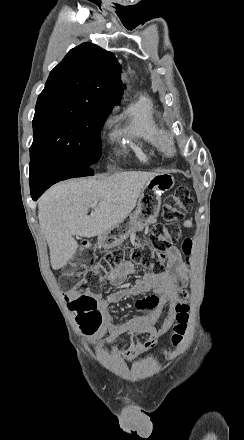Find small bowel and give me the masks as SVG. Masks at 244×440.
I'll list each match as a JSON object with an SVG mask.
<instances>
[{"instance_id": "c3829d8e", "label": "small bowel", "mask_w": 244, "mask_h": 440, "mask_svg": "<svg viewBox=\"0 0 244 440\" xmlns=\"http://www.w3.org/2000/svg\"><path fill=\"white\" fill-rule=\"evenodd\" d=\"M182 225L184 228L189 229L193 226V222L191 219H186ZM165 263L166 268L162 273L138 275V271L133 264L126 260L121 265L112 268L104 279L111 286L117 287L123 285L126 279L136 276V280L132 285L120 288L107 295L69 292V296L73 300L81 297H91L96 301V308L99 310L101 320L94 337L100 345L107 346L122 335L130 336L131 344L129 348L120 354V357L125 361H130L138 354L155 347L172 325L173 307L177 299V292L189 281L190 272L179 250L175 247H171L167 251ZM100 279L103 280L102 277ZM130 296L141 297L136 302V307L146 310L147 313L118 321L111 313L109 306ZM166 305H169L167 316L162 326L156 329L154 324ZM105 333H108V335L103 338ZM138 334H147L148 339L144 342H138L135 339Z\"/></svg>"}]
</instances>
